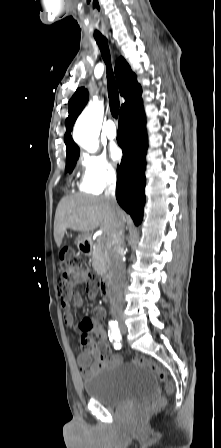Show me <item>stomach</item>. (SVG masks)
<instances>
[{"instance_id":"obj_1","label":"stomach","mask_w":221,"mask_h":448,"mask_svg":"<svg viewBox=\"0 0 221 448\" xmlns=\"http://www.w3.org/2000/svg\"><path fill=\"white\" fill-rule=\"evenodd\" d=\"M87 239V235L81 234L78 236V242H84Z\"/></svg>"}]
</instances>
